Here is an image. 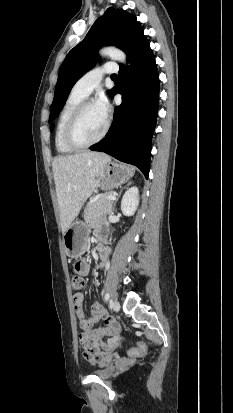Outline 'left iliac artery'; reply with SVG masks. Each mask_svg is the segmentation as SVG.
Returning a JSON list of instances; mask_svg holds the SVG:
<instances>
[{
    "label": "left iliac artery",
    "mask_w": 233,
    "mask_h": 413,
    "mask_svg": "<svg viewBox=\"0 0 233 413\" xmlns=\"http://www.w3.org/2000/svg\"><path fill=\"white\" fill-rule=\"evenodd\" d=\"M104 299H105V301H108L110 299V294L106 293Z\"/></svg>",
    "instance_id": "1"
}]
</instances>
